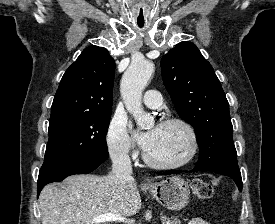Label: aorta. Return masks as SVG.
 Segmentation results:
<instances>
[{"label": "aorta", "instance_id": "aorta-1", "mask_svg": "<svg viewBox=\"0 0 275 224\" xmlns=\"http://www.w3.org/2000/svg\"><path fill=\"white\" fill-rule=\"evenodd\" d=\"M154 72V64L148 60L133 61L121 80V94L129 113L139 128L148 129L154 123L151 115L144 112L141 97Z\"/></svg>", "mask_w": 275, "mask_h": 224}]
</instances>
